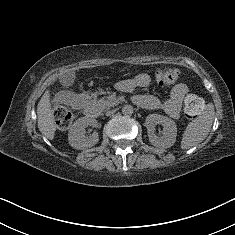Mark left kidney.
<instances>
[{"label":"left kidney","mask_w":235,"mask_h":235,"mask_svg":"<svg viewBox=\"0 0 235 235\" xmlns=\"http://www.w3.org/2000/svg\"><path fill=\"white\" fill-rule=\"evenodd\" d=\"M147 128L149 142L158 148L167 149L174 145L177 136V126L175 122L160 114H149L144 123ZM156 125L163 127L162 135L155 134Z\"/></svg>","instance_id":"left-kidney-1"}]
</instances>
